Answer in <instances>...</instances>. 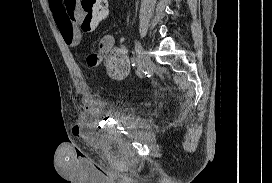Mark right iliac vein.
I'll return each instance as SVG.
<instances>
[{
  "mask_svg": "<svg viewBox=\"0 0 272 183\" xmlns=\"http://www.w3.org/2000/svg\"><path fill=\"white\" fill-rule=\"evenodd\" d=\"M135 50L139 61L138 66L142 69L143 72L148 67L149 56L145 49L142 47L141 43L138 41L135 43Z\"/></svg>",
  "mask_w": 272,
  "mask_h": 183,
  "instance_id": "right-iliac-vein-1",
  "label": "right iliac vein"
}]
</instances>
